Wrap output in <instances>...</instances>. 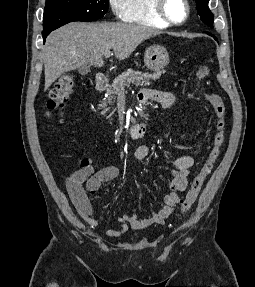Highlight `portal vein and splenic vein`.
Wrapping results in <instances>:
<instances>
[{"label":"portal vein and splenic vein","instance_id":"1","mask_svg":"<svg viewBox=\"0 0 255 287\" xmlns=\"http://www.w3.org/2000/svg\"><path fill=\"white\" fill-rule=\"evenodd\" d=\"M105 58H110L111 56V52H106V54H104Z\"/></svg>","mask_w":255,"mask_h":287}]
</instances>
